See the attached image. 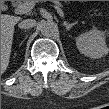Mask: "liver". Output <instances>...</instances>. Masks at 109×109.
I'll list each match as a JSON object with an SVG mask.
<instances>
[{
	"label": "liver",
	"instance_id": "6515ba94",
	"mask_svg": "<svg viewBox=\"0 0 109 109\" xmlns=\"http://www.w3.org/2000/svg\"><path fill=\"white\" fill-rule=\"evenodd\" d=\"M20 17L1 16V71L4 73L9 65L14 26L20 21Z\"/></svg>",
	"mask_w": 109,
	"mask_h": 109
}]
</instances>
